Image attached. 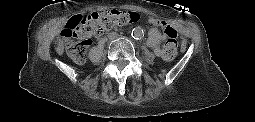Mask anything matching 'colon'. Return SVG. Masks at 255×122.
<instances>
[{
    "mask_svg": "<svg viewBox=\"0 0 255 122\" xmlns=\"http://www.w3.org/2000/svg\"><path fill=\"white\" fill-rule=\"evenodd\" d=\"M141 16L137 12L111 10L104 12H93L84 16H76L62 31V38L66 42L68 56L76 63H82L86 59L92 37L118 25L135 23ZM147 23H150L149 20ZM167 35L162 55L165 60H173L178 54L177 32L168 25H161Z\"/></svg>",
    "mask_w": 255,
    "mask_h": 122,
    "instance_id": "5ec220e1",
    "label": "colon"
}]
</instances>
